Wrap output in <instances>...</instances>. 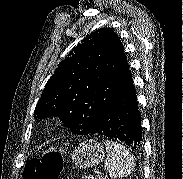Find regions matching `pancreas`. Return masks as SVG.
Masks as SVG:
<instances>
[{
    "instance_id": "1",
    "label": "pancreas",
    "mask_w": 183,
    "mask_h": 179,
    "mask_svg": "<svg viewBox=\"0 0 183 179\" xmlns=\"http://www.w3.org/2000/svg\"><path fill=\"white\" fill-rule=\"evenodd\" d=\"M81 179H92V177H89V176H83ZM93 179H96V178H93ZM102 179H106L105 177H103Z\"/></svg>"
}]
</instances>
